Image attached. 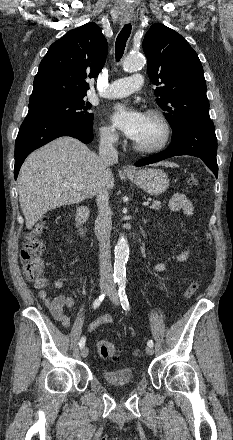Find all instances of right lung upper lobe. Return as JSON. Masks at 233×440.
<instances>
[{"mask_svg":"<svg viewBox=\"0 0 233 440\" xmlns=\"http://www.w3.org/2000/svg\"><path fill=\"white\" fill-rule=\"evenodd\" d=\"M108 44L100 27L87 23L54 42L39 65L29 104L55 98L85 97L87 78L97 77Z\"/></svg>","mask_w":233,"mask_h":440,"instance_id":"right-lung-upper-lobe-1","label":"right lung upper lobe"}]
</instances>
